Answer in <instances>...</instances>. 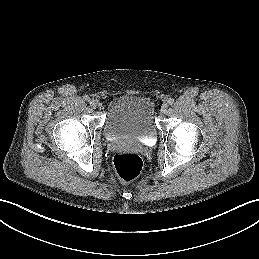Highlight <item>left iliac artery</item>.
Returning <instances> with one entry per match:
<instances>
[{"instance_id": "obj_1", "label": "left iliac artery", "mask_w": 259, "mask_h": 259, "mask_svg": "<svg viewBox=\"0 0 259 259\" xmlns=\"http://www.w3.org/2000/svg\"><path fill=\"white\" fill-rule=\"evenodd\" d=\"M167 103H168L169 105H172V104L174 103V99L169 98L168 101H167Z\"/></svg>"}]
</instances>
